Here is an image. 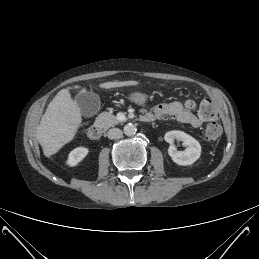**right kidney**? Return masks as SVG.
I'll return each instance as SVG.
<instances>
[{"label":"right kidney","mask_w":259,"mask_h":259,"mask_svg":"<svg viewBox=\"0 0 259 259\" xmlns=\"http://www.w3.org/2000/svg\"><path fill=\"white\" fill-rule=\"evenodd\" d=\"M89 150L85 147H77L69 153L66 161L68 166L74 167L78 165L88 154Z\"/></svg>","instance_id":"ca27d5eb"}]
</instances>
